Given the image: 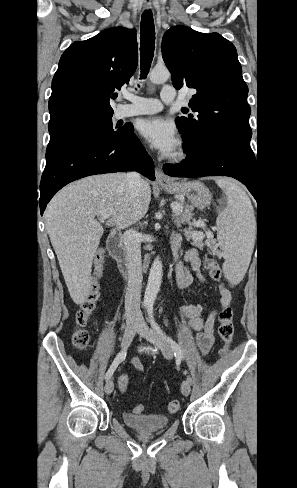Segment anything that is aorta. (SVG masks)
Wrapping results in <instances>:
<instances>
[{"mask_svg":"<svg viewBox=\"0 0 297 488\" xmlns=\"http://www.w3.org/2000/svg\"><path fill=\"white\" fill-rule=\"evenodd\" d=\"M170 72L166 67H155L149 74V79L154 84L166 82ZM162 281V262L156 258L150 268L148 282L144 295V305L153 306Z\"/></svg>","mask_w":297,"mask_h":488,"instance_id":"aorta-1","label":"aorta"}]
</instances>
